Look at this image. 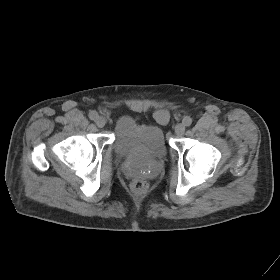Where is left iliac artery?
<instances>
[{"label":"left iliac artery","mask_w":280,"mask_h":280,"mask_svg":"<svg viewBox=\"0 0 280 280\" xmlns=\"http://www.w3.org/2000/svg\"><path fill=\"white\" fill-rule=\"evenodd\" d=\"M182 123L185 126H190L192 124V118H190L189 116H186L183 118Z\"/></svg>","instance_id":"obj_1"}]
</instances>
